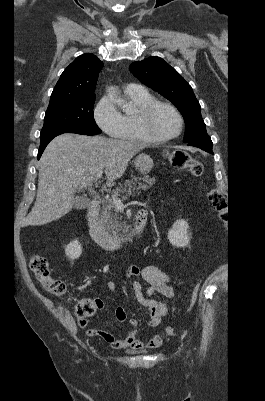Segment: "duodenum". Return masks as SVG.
Masks as SVG:
<instances>
[{
    "label": "duodenum",
    "mask_w": 265,
    "mask_h": 401,
    "mask_svg": "<svg viewBox=\"0 0 265 401\" xmlns=\"http://www.w3.org/2000/svg\"><path fill=\"white\" fill-rule=\"evenodd\" d=\"M100 209L98 200H93L88 207L85 215L90 237L94 242L106 250H119L136 241L143 233L147 221V212L140 210L137 212L134 225L131 231L124 237H114L101 228L97 221V215Z\"/></svg>",
    "instance_id": "1"
}]
</instances>
